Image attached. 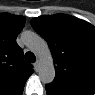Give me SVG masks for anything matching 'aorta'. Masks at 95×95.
Returning <instances> with one entry per match:
<instances>
[{"instance_id":"obj_1","label":"aorta","mask_w":95,"mask_h":95,"mask_svg":"<svg viewBox=\"0 0 95 95\" xmlns=\"http://www.w3.org/2000/svg\"><path fill=\"white\" fill-rule=\"evenodd\" d=\"M23 42L39 58L38 74L44 84L51 83L55 78V68L51 50L47 42L38 34L32 31H25L22 34Z\"/></svg>"}]
</instances>
